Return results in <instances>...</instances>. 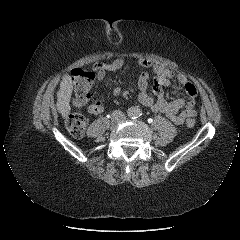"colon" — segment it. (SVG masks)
I'll return each instance as SVG.
<instances>
[{
    "label": "colon",
    "instance_id": "colon-1",
    "mask_svg": "<svg viewBox=\"0 0 240 240\" xmlns=\"http://www.w3.org/2000/svg\"><path fill=\"white\" fill-rule=\"evenodd\" d=\"M95 79V73L89 70L77 68L72 71V83L74 88L73 111L66 119L68 132L76 137L83 136L86 128V119L80 112L90 99V87ZM196 124L195 117L190 116L186 119V126L191 128Z\"/></svg>",
    "mask_w": 240,
    "mask_h": 240
}]
</instances>
